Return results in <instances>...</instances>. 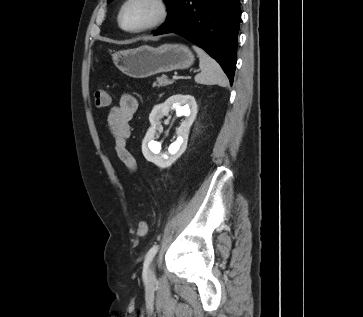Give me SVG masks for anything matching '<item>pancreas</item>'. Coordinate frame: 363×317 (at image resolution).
I'll return each mask as SVG.
<instances>
[{
	"label": "pancreas",
	"mask_w": 363,
	"mask_h": 317,
	"mask_svg": "<svg viewBox=\"0 0 363 317\" xmlns=\"http://www.w3.org/2000/svg\"><path fill=\"white\" fill-rule=\"evenodd\" d=\"M156 83L158 86H167L173 83V81L169 80L167 76L163 75L161 77H157ZM155 83V84H156Z\"/></svg>",
	"instance_id": "1"
}]
</instances>
